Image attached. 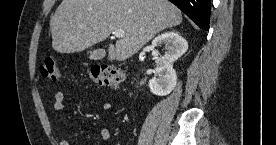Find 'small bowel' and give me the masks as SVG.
Masks as SVG:
<instances>
[{"instance_id":"small-bowel-1","label":"small bowel","mask_w":276,"mask_h":145,"mask_svg":"<svg viewBox=\"0 0 276 145\" xmlns=\"http://www.w3.org/2000/svg\"><path fill=\"white\" fill-rule=\"evenodd\" d=\"M64 94L62 92H56L54 94V110L55 112H61L63 111L65 104H64ZM101 107L103 110H108L111 107L110 102L107 99H103L101 102ZM99 137L102 140H110L113 138V135L109 129L102 128L99 130ZM59 145H70V143L67 140H61Z\"/></svg>"}]
</instances>
